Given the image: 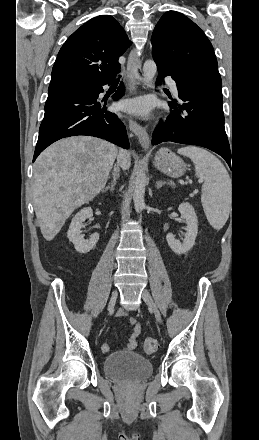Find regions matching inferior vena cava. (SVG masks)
Here are the masks:
<instances>
[{
    "label": "inferior vena cava",
    "instance_id": "1",
    "mask_svg": "<svg viewBox=\"0 0 259 440\" xmlns=\"http://www.w3.org/2000/svg\"><path fill=\"white\" fill-rule=\"evenodd\" d=\"M119 166H120V164H119V162H117V165L114 167V173H113V175H114V179L116 180V177L119 175Z\"/></svg>",
    "mask_w": 259,
    "mask_h": 440
}]
</instances>
